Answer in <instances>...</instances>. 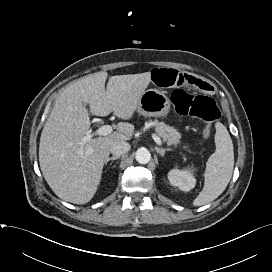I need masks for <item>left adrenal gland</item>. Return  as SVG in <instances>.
Listing matches in <instances>:
<instances>
[{
    "instance_id": "1",
    "label": "left adrenal gland",
    "mask_w": 272,
    "mask_h": 272,
    "mask_svg": "<svg viewBox=\"0 0 272 272\" xmlns=\"http://www.w3.org/2000/svg\"><path fill=\"white\" fill-rule=\"evenodd\" d=\"M155 150L157 153H159L162 157L165 156V152L166 151H171L170 148H159V147H155Z\"/></svg>"
}]
</instances>
